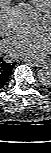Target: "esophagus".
<instances>
[{
  "mask_svg": "<svg viewBox=\"0 0 51 153\" xmlns=\"http://www.w3.org/2000/svg\"><path fill=\"white\" fill-rule=\"evenodd\" d=\"M24 61L29 63L32 66H37V67H42L47 65L46 61H42V62H34V61H28V60H24Z\"/></svg>",
  "mask_w": 51,
  "mask_h": 153,
  "instance_id": "34e87169",
  "label": "esophagus"
}]
</instances>
